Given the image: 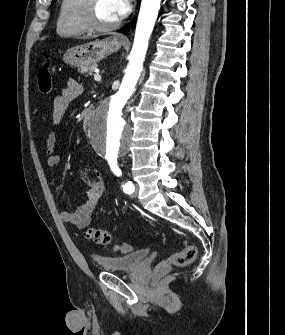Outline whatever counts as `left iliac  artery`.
<instances>
[{
	"instance_id": "left-iliac-artery-1",
	"label": "left iliac artery",
	"mask_w": 285,
	"mask_h": 335,
	"mask_svg": "<svg viewBox=\"0 0 285 335\" xmlns=\"http://www.w3.org/2000/svg\"><path fill=\"white\" fill-rule=\"evenodd\" d=\"M109 165L111 167V170L113 171V173L117 176H121V170L117 165V160L116 159H110L109 161ZM123 191L127 194H131L134 192L135 187L133 185V183L131 181H127L123 186Z\"/></svg>"
}]
</instances>
